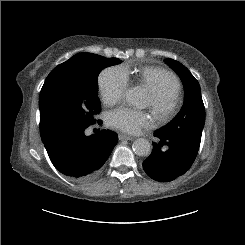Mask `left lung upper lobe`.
<instances>
[{
    "mask_svg": "<svg viewBox=\"0 0 245 245\" xmlns=\"http://www.w3.org/2000/svg\"><path fill=\"white\" fill-rule=\"evenodd\" d=\"M165 62L183 82L185 103L177 116L158 132L165 136L185 139L200 146L205 122V108L199 83L190 71L178 61L167 58Z\"/></svg>",
    "mask_w": 245,
    "mask_h": 245,
    "instance_id": "5c2ea615",
    "label": "left lung upper lobe"
}]
</instances>
